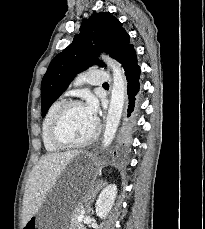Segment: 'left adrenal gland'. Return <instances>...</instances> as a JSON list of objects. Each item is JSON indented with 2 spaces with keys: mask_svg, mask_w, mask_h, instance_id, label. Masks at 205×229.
<instances>
[{
  "mask_svg": "<svg viewBox=\"0 0 205 229\" xmlns=\"http://www.w3.org/2000/svg\"><path fill=\"white\" fill-rule=\"evenodd\" d=\"M106 184H107L106 181L101 180V181L96 185L95 189H92L91 195H88V196H87V202L85 203L86 209H87V213H89V212L91 211L90 205H91V203L93 202V200H94L96 194H97L98 191H99L102 187H104Z\"/></svg>",
  "mask_w": 205,
  "mask_h": 229,
  "instance_id": "left-adrenal-gland-1",
  "label": "left adrenal gland"
}]
</instances>
